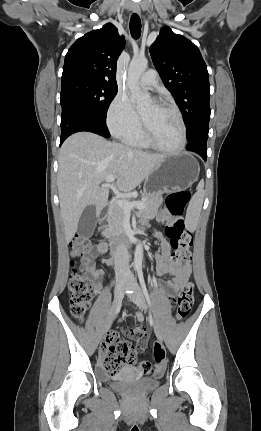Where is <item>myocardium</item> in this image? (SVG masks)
<instances>
[{"mask_svg": "<svg viewBox=\"0 0 261 431\" xmlns=\"http://www.w3.org/2000/svg\"><path fill=\"white\" fill-rule=\"evenodd\" d=\"M160 105L165 106L169 109H171L177 116L179 124H180V129H181V139H180V143L178 144V146H176L173 149H168V148H164L161 145H159L155 138L153 137L150 129L148 128V126L146 125V123L144 122V120L142 119V133L144 135L145 140L148 142V144L150 146H152L154 149L169 154V155H176L179 154L180 152H182L186 146V142H187V131H186V126H185V122L183 119V116L180 112V110L173 104L167 102V101H162L160 103Z\"/></svg>", "mask_w": 261, "mask_h": 431, "instance_id": "obj_1", "label": "myocardium"}]
</instances>
